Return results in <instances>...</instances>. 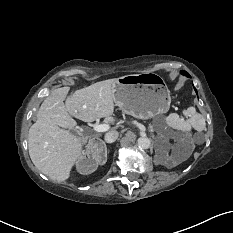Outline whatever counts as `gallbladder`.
I'll return each instance as SVG.
<instances>
[{
    "label": "gallbladder",
    "instance_id": "gallbladder-1",
    "mask_svg": "<svg viewBox=\"0 0 233 233\" xmlns=\"http://www.w3.org/2000/svg\"><path fill=\"white\" fill-rule=\"evenodd\" d=\"M69 131H70V133H72V134L75 133V130H74V129H70Z\"/></svg>",
    "mask_w": 233,
    "mask_h": 233
}]
</instances>
